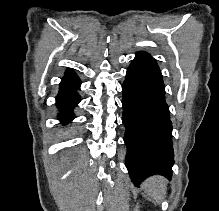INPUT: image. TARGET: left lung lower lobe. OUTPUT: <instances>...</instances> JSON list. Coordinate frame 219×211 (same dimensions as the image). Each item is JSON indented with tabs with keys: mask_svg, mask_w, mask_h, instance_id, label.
<instances>
[{
	"mask_svg": "<svg viewBox=\"0 0 219 211\" xmlns=\"http://www.w3.org/2000/svg\"><path fill=\"white\" fill-rule=\"evenodd\" d=\"M126 166L135 186L151 175L172 176V122L156 60L138 52L122 85Z\"/></svg>",
	"mask_w": 219,
	"mask_h": 211,
	"instance_id": "left-lung-lower-lobe-1",
	"label": "left lung lower lobe"
}]
</instances>
